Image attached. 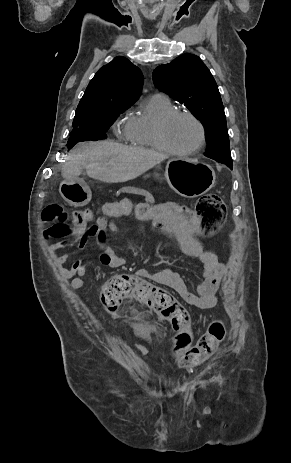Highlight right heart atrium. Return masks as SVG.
Listing matches in <instances>:
<instances>
[{"mask_svg":"<svg viewBox=\"0 0 291 463\" xmlns=\"http://www.w3.org/2000/svg\"><path fill=\"white\" fill-rule=\"evenodd\" d=\"M117 136L122 140H128L129 137V120H119L115 123Z\"/></svg>","mask_w":291,"mask_h":463,"instance_id":"d8ad5b80","label":"right heart atrium"}]
</instances>
